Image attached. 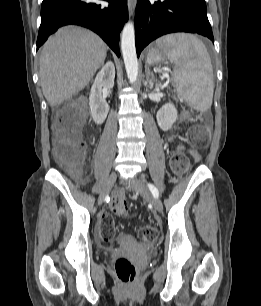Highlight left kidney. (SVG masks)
Listing matches in <instances>:
<instances>
[{
  "mask_svg": "<svg viewBox=\"0 0 261 306\" xmlns=\"http://www.w3.org/2000/svg\"><path fill=\"white\" fill-rule=\"evenodd\" d=\"M157 123L163 131H168L178 118L177 110L172 103L165 104L156 115Z\"/></svg>",
  "mask_w": 261,
  "mask_h": 306,
  "instance_id": "5707ae66",
  "label": "left kidney"
}]
</instances>
